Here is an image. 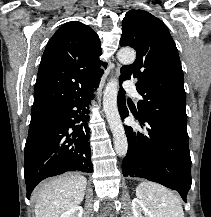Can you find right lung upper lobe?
<instances>
[{
	"mask_svg": "<svg viewBox=\"0 0 211 217\" xmlns=\"http://www.w3.org/2000/svg\"><path fill=\"white\" fill-rule=\"evenodd\" d=\"M101 43L98 35L77 21L62 25L48 41L34 89L32 115L59 107L97 87Z\"/></svg>",
	"mask_w": 211,
	"mask_h": 217,
	"instance_id": "obj_1",
	"label": "right lung upper lobe"
}]
</instances>
